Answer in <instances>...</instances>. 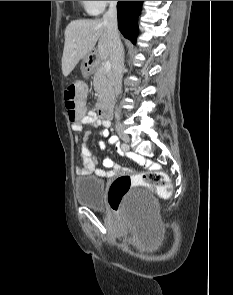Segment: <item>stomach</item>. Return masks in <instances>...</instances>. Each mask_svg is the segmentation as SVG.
Returning a JSON list of instances; mask_svg holds the SVG:
<instances>
[{"instance_id": "obj_1", "label": "stomach", "mask_w": 233, "mask_h": 295, "mask_svg": "<svg viewBox=\"0 0 233 295\" xmlns=\"http://www.w3.org/2000/svg\"><path fill=\"white\" fill-rule=\"evenodd\" d=\"M89 58L86 57L82 63L81 70L84 76H88L93 69V65L89 64Z\"/></svg>"}]
</instances>
